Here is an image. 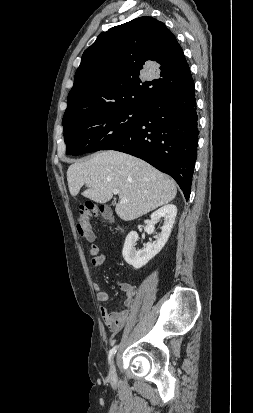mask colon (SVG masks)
<instances>
[{
  "label": "colon",
  "instance_id": "colon-1",
  "mask_svg": "<svg viewBox=\"0 0 253 413\" xmlns=\"http://www.w3.org/2000/svg\"><path fill=\"white\" fill-rule=\"evenodd\" d=\"M96 216H100L106 223L112 221L110 210L104 205L96 206L93 203H88L79 209L76 224L77 232L88 242H93L95 238L91 226V219Z\"/></svg>",
  "mask_w": 253,
  "mask_h": 413
}]
</instances>
